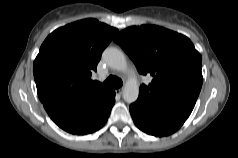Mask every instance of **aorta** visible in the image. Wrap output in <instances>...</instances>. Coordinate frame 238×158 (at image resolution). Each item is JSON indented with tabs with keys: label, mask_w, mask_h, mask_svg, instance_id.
I'll return each instance as SVG.
<instances>
[{
	"label": "aorta",
	"mask_w": 238,
	"mask_h": 158,
	"mask_svg": "<svg viewBox=\"0 0 238 158\" xmlns=\"http://www.w3.org/2000/svg\"><path fill=\"white\" fill-rule=\"evenodd\" d=\"M104 61L112 69L125 72L127 61L124 53L114 47L106 48L102 54ZM139 88L135 81L128 80L123 89V98L127 103H133L138 99Z\"/></svg>",
	"instance_id": "obj_1"
}]
</instances>
